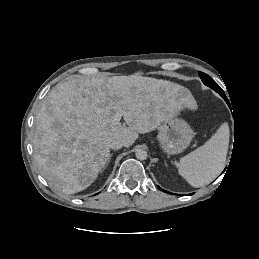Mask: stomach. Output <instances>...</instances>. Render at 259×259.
Masks as SVG:
<instances>
[{"label":"stomach","mask_w":259,"mask_h":259,"mask_svg":"<svg viewBox=\"0 0 259 259\" xmlns=\"http://www.w3.org/2000/svg\"><path fill=\"white\" fill-rule=\"evenodd\" d=\"M186 92V90H182ZM192 129L182 119L172 117L163 122L157 136L162 150L168 155L179 154L184 151L192 140Z\"/></svg>","instance_id":"stomach-1"}]
</instances>
